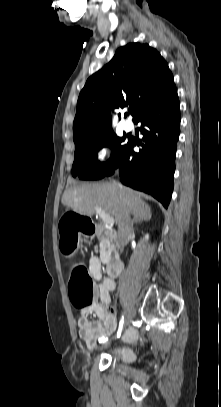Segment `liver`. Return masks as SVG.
Returning a JSON list of instances; mask_svg holds the SVG:
<instances>
[{"label":"liver","mask_w":221,"mask_h":407,"mask_svg":"<svg viewBox=\"0 0 221 407\" xmlns=\"http://www.w3.org/2000/svg\"><path fill=\"white\" fill-rule=\"evenodd\" d=\"M62 203L74 212L92 217L98 208L114 217L119 224L124 209L141 220L151 218V209L140 193L115 182L83 184L67 189L62 196Z\"/></svg>","instance_id":"6515ba94"}]
</instances>
